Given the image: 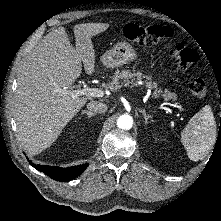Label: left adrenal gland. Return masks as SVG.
Wrapping results in <instances>:
<instances>
[{"instance_id":"a2214340","label":"left adrenal gland","mask_w":221,"mask_h":221,"mask_svg":"<svg viewBox=\"0 0 221 221\" xmlns=\"http://www.w3.org/2000/svg\"><path fill=\"white\" fill-rule=\"evenodd\" d=\"M140 112L143 114V117H144V119H145V124H147V123H148V119H152V116L146 114V112H145L144 109L140 110Z\"/></svg>"}]
</instances>
